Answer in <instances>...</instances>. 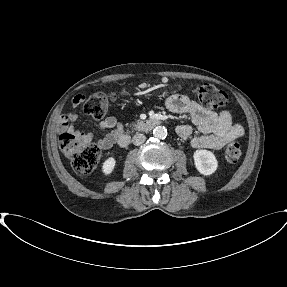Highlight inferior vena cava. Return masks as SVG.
<instances>
[{
    "label": "inferior vena cava",
    "mask_w": 287,
    "mask_h": 287,
    "mask_svg": "<svg viewBox=\"0 0 287 287\" xmlns=\"http://www.w3.org/2000/svg\"><path fill=\"white\" fill-rule=\"evenodd\" d=\"M146 140V136L141 133H137L133 136L132 142L134 145L139 146L143 144Z\"/></svg>",
    "instance_id": "inferior-vena-cava-1"
}]
</instances>
